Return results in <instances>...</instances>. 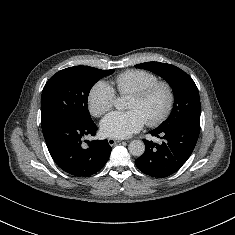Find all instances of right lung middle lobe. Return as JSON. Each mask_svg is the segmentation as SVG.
Returning a JSON list of instances; mask_svg holds the SVG:
<instances>
[{"instance_id": "dd1d6c3e", "label": "right lung middle lobe", "mask_w": 235, "mask_h": 235, "mask_svg": "<svg viewBox=\"0 0 235 235\" xmlns=\"http://www.w3.org/2000/svg\"><path fill=\"white\" fill-rule=\"evenodd\" d=\"M114 72L88 66H75L54 74L45 84L41 96L43 133L63 121L92 122L87 99L92 86Z\"/></svg>"}]
</instances>
